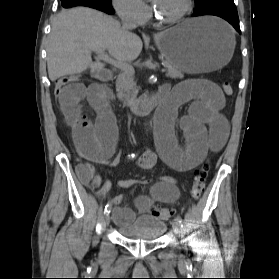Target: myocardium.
<instances>
[{
	"instance_id": "myocardium-1",
	"label": "myocardium",
	"mask_w": 279,
	"mask_h": 279,
	"mask_svg": "<svg viewBox=\"0 0 279 279\" xmlns=\"http://www.w3.org/2000/svg\"><path fill=\"white\" fill-rule=\"evenodd\" d=\"M193 6H194L193 0H186V6L181 10V12L178 15H176L175 17H172V18H164V17L159 16L156 13V11L154 10V8H152V14H153V17L159 23L175 24V23L182 21L185 17H187L191 13Z\"/></svg>"
}]
</instances>
